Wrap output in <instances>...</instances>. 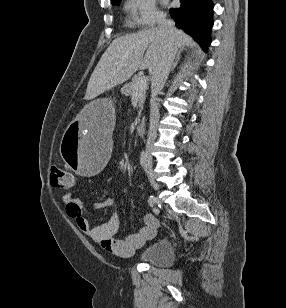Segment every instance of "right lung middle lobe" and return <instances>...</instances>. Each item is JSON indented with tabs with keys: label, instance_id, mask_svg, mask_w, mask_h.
I'll use <instances>...</instances> for the list:
<instances>
[{
	"label": "right lung middle lobe",
	"instance_id": "right-lung-middle-lobe-1",
	"mask_svg": "<svg viewBox=\"0 0 286 308\" xmlns=\"http://www.w3.org/2000/svg\"><path fill=\"white\" fill-rule=\"evenodd\" d=\"M120 1H121V0H114V1H112V4H113V5H118V4L120 3Z\"/></svg>",
	"mask_w": 286,
	"mask_h": 308
}]
</instances>
